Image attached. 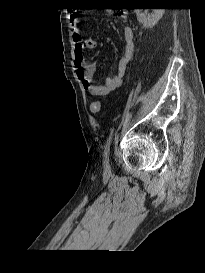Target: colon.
I'll list each match as a JSON object with an SVG mask.
<instances>
[{
  "instance_id": "colon-1",
  "label": "colon",
  "mask_w": 205,
  "mask_h": 273,
  "mask_svg": "<svg viewBox=\"0 0 205 273\" xmlns=\"http://www.w3.org/2000/svg\"><path fill=\"white\" fill-rule=\"evenodd\" d=\"M90 109L92 113L99 114L101 111V102L96 100L91 103Z\"/></svg>"
}]
</instances>
